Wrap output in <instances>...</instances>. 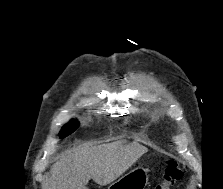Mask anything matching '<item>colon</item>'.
Returning <instances> with one entry per match:
<instances>
[{"mask_svg":"<svg viewBox=\"0 0 223 189\" xmlns=\"http://www.w3.org/2000/svg\"><path fill=\"white\" fill-rule=\"evenodd\" d=\"M182 175L180 165L175 160H171L164 170L162 181L154 189H171L182 178Z\"/></svg>","mask_w":223,"mask_h":189,"instance_id":"obj_1","label":"colon"}]
</instances>
